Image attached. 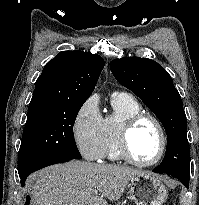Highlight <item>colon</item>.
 Masks as SVG:
<instances>
[{
  "instance_id": "1",
  "label": "colon",
  "mask_w": 199,
  "mask_h": 205,
  "mask_svg": "<svg viewBox=\"0 0 199 205\" xmlns=\"http://www.w3.org/2000/svg\"><path fill=\"white\" fill-rule=\"evenodd\" d=\"M25 205H30V201L28 200V201L25 203Z\"/></svg>"
}]
</instances>
